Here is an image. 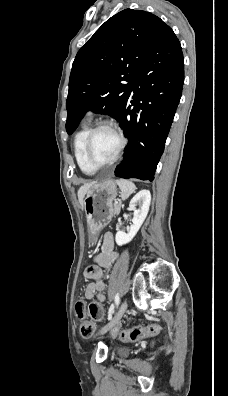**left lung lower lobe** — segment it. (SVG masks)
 Instances as JSON below:
<instances>
[{
	"instance_id": "0a47b994",
	"label": "left lung lower lobe",
	"mask_w": 228,
	"mask_h": 396,
	"mask_svg": "<svg viewBox=\"0 0 228 396\" xmlns=\"http://www.w3.org/2000/svg\"><path fill=\"white\" fill-rule=\"evenodd\" d=\"M183 82L181 45L169 27L158 33L131 83V93L119 119L128 144L115 176L153 181Z\"/></svg>"
}]
</instances>
